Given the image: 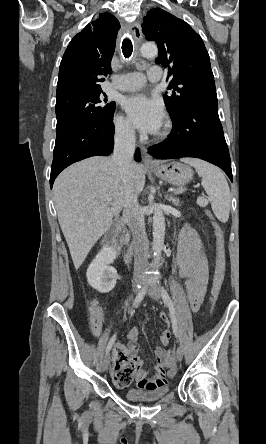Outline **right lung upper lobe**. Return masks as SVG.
Returning <instances> with one entry per match:
<instances>
[{
	"label": "right lung upper lobe",
	"instance_id": "cb5924a9",
	"mask_svg": "<svg viewBox=\"0 0 266 444\" xmlns=\"http://www.w3.org/2000/svg\"><path fill=\"white\" fill-rule=\"evenodd\" d=\"M119 28L112 14L103 13L74 36L60 63L56 98L101 89L103 76L111 73Z\"/></svg>",
	"mask_w": 266,
	"mask_h": 444
}]
</instances>
